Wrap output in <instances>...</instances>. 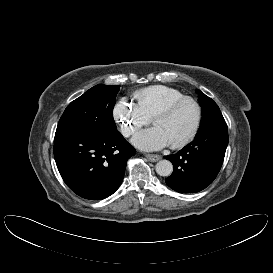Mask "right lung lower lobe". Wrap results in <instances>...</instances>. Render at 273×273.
<instances>
[{
    "instance_id": "obj_1",
    "label": "right lung lower lobe",
    "mask_w": 273,
    "mask_h": 273,
    "mask_svg": "<svg viewBox=\"0 0 273 273\" xmlns=\"http://www.w3.org/2000/svg\"><path fill=\"white\" fill-rule=\"evenodd\" d=\"M135 152L120 132L54 138V157L64 182L77 195L90 200L105 199L119 188L126 162Z\"/></svg>"
}]
</instances>
